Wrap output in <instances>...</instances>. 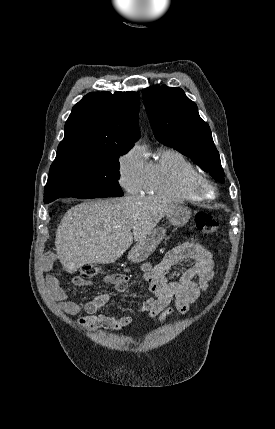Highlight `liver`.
<instances>
[{
    "label": "liver",
    "mask_w": 275,
    "mask_h": 429,
    "mask_svg": "<svg viewBox=\"0 0 275 429\" xmlns=\"http://www.w3.org/2000/svg\"><path fill=\"white\" fill-rule=\"evenodd\" d=\"M177 205L169 199L141 196L77 204L65 213L57 228L58 259L70 274L85 264L113 263L133 240L147 237Z\"/></svg>",
    "instance_id": "obj_1"
}]
</instances>
